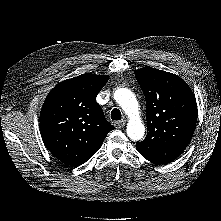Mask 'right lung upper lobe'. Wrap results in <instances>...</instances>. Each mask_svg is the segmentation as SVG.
I'll return each instance as SVG.
<instances>
[{"label":"right lung upper lobe","instance_id":"obj_1","mask_svg":"<svg viewBox=\"0 0 221 221\" xmlns=\"http://www.w3.org/2000/svg\"><path fill=\"white\" fill-rule=\"evenodd\" d=\"M108 79V75L85 73L59 83L46 97L40 131L51 154L62 163H85L114 129L96 102Z\"/></svg>","mask_w":221,"mask_h":221}]
</instances>
